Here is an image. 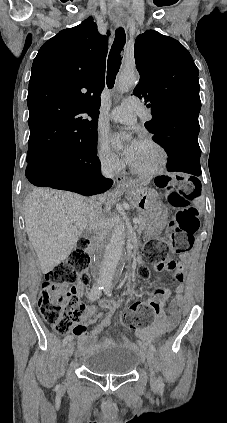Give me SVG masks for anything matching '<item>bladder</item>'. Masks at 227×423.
I'll list each match as a JSON object with an SVG mask.
<instances>
[{"label":"bladder","instance_id":"obj_1","mask_svg":"<svg viewBox=\"0 0 227 423\" xmlns=\"http://www.w3.org/2000/svg\"><path fill=\"white\" fill-rule=\"evenodd\" d=\"M139 362L140 357L131 345L113 344L91 351L81 363L90 373L121 377L129 375Z\"/></svg>","mask_w":227,"mask_h":423}]
</instances>
